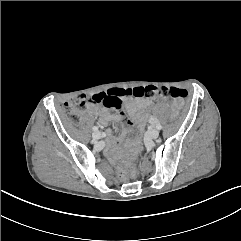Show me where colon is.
Wrapping results in <instances>:
<instances>
[{"instance_id":"1","label":"colon","mask_w":241,"mask_h":241,"mask_svg":"<svg viewBox=\"0 0 241 241\" xmlns=\"http://www.w3.org/2000/svg\"><path fill=\"white\" fill-rule=\"evenodd\" d=\"M187 93L183 89L179 88H166L157 86L138 87L135 89L123 88V87H110L100 91L98 94L91 96L82 94L65 104V114L72 120H76L82 110L91 105H106L118 109L121 100L126 97H145L148 99H155L158 97L171 98L177 101L183 100ZM179 106H174L171 115L168 117L170 124L176 123V117L180 112Z\"/></svg>"}]
</instances>
